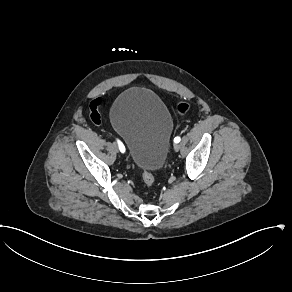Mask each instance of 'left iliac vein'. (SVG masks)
I'll return each instance as SVG.
<instances>
[{"instance_id": "obj_1", "label": "left iliac vein", "mask_w": 292, "mask_h": 292, "mask_svg": "<svg viewBox=\"0 0 292 292\" xmlns=\"http://www.w3.org/2000/svg\"><path fill=\"white\" fill-rule=\"evenodd\" d=\"M179 149H180V145L179 144H174V150L175 151H179Z\"/></svg>"}]
</instances>
